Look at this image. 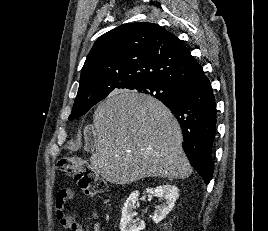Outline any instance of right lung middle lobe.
I'll use <instances>...</instances> for the list:
<instances>
[{
  "mask_svg": "<svg viewBox=\"0 0 268 231\" xmlns=\"http://www.w3.org/2000/svg\"><path fill=\"white\" fill-rule=\"evenodd\" d=\"M129 90L148 94L157 99H166V98L169 99L176 94V88L167 86L159 82H148L139 84L137 86L132 87ZM95 104L96 103L86 105H80V104L74 105L72 113L69 116V120H73L84 115Z\"/></svg>",
  "mask_w": 268,
  "mask_h": 231,
  "instance_id": "obj_1",
  "label": "right lung middle lobe"
}]
</instances>
